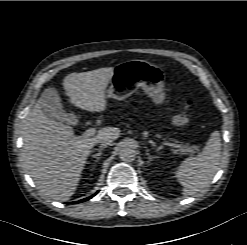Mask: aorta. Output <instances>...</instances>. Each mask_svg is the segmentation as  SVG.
I'll use <instances>...</instances> for the list:
<instances>
[{
    "label": "aorta",
    "mask_w": 247,
    "mask_h": 245,
    "mask_svg": "<svg viewBox=\"0 0 247 245\" xmlns=\"http://www.w3.org/2000/svg\"><path fill=\"white\" fill-rule=\"evenodd\" d=\"M119 157L124 162H132L136 157V150L130 143H125L119 151Z\"/></svg>",
    "instance_id": "aorta-1"
}]
</instances>
